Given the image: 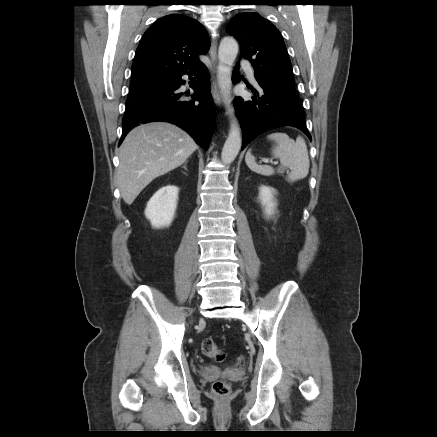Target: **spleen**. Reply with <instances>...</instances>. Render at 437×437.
<instances>
[{
    "mask_svg": "<svg viewBox=\"0 0 437 437\" xmlns=\"http://www.w3.org/2000/svg\"><path fill=\"white\" fill-rule=\"evenodd\" d=\"M267 138L275 142L272 155L280 160L278 172H283L285 168L291 169L287 175L288 182L301 180L308 175L310 160L306 142L301 136L294 141L286 133L276 132L269 134ZM245 162L250 170L258 174L271 176L275 173L271 166L257 164L251 150L246 153Z\"/></svg>",
    "mask_w": 437,
    "mask_h": 437,
    "instance_id": "1",
    "label": "spleen"
}]
</instances>
